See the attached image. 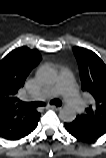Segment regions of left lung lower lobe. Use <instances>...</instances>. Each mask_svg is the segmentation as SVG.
<instances>
[{"label":"left lung lower lobe","mask_w":106,"mask_h":158,"mask_svg":"<svg viewBox=\"0 0 106 158\" xmlns=\"http://www.w3.org/2000/svg\"><path fill=\"white\" fill-rule=\"evenodd\" d=\"M65 127L67 129V131L73 135L76 138L79 139H84V140H90L91 138H89L87 135H85L84 133H82L76 126H74L72 123H65Z\"/></svg>","instance_id":"0a47b994"}]
</instances>
